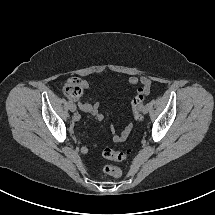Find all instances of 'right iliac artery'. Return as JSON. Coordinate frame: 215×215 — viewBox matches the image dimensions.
Wrapping results in <instances>:
<instances>
[{
    "mask_svg": "<svg viewBox=\"0 0 215 215\" xmlns=\"http://www.w3.org/2000/svg\"><path fill=\"white\" fill-rule=\"evenodd\" d=\"M68 102H69V104H70V103H73V101H72V100H70V99H69V101H68Z\"/></svg>",
    "mask_w": 215,
    "mask_h": 215,
    "instance_id": "82829eb1",
    "label": "right iliac artery"
}]
</instances>
